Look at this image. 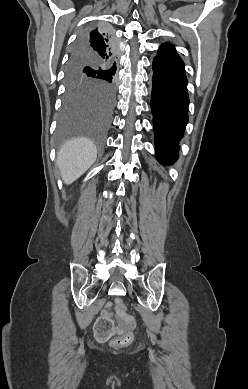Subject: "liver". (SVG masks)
<instances>
[{
	"label": "liver",
	"instance_id": "obj_1",
	"mask_svg": "<svg viewBox=\"0 0 248 389\" xmlns=\"http://www.w3.org/2000/svg\"><path fill=\"white\" fill-rule=\"evenodd\" d=\"M97 148L88 138H73L57 153V165L64 183L69 185L83 175L95 162Z\"/></svg>",
	"mask_w": 248,
	"mask_h": 389
}]
</instances>
